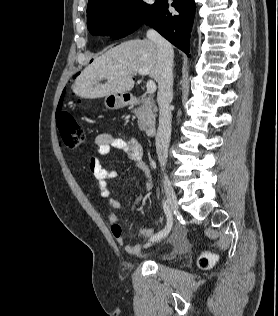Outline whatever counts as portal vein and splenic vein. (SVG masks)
<instances>
[{
    "label": "portal vein and splenic vein",
    "mask_w": 278,
    "mask_h": 316,
    "mask_svg": "<svg viewBox=\"0 0 278 316\" xmlns=\"http://www.w3.org/2000/svg\"><path fill=\"white\" fill-rule=\"evenodd\" d=\"M138 74L140 75H148L149 74V70L145 69V68H141L138 70ZM147 93L152 94L156 91V84L153 80H148L147 82Z\"/></svg>",
    "instance_id": "18ae733b"
}]
</instances>
